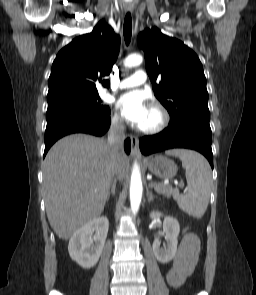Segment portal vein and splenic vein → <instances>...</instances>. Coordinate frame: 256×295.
I'll return each instance as SVG.
<instances>
[{
  "mask_svg": "<svg viewBox=\"0 0 256 295\" xmlns=\"http://www.w3.org/2000/svg\"><path fill=\"white\" fill-rule=\"evenodd\" d=\"M152 185H153V182H151V183L149 184V186H152ZM178 186H179V187H183L184 184H183V183H179Z\"/></svg>",
  "mask_w": 256,
  "mask_h": 295,
  "instance_id": "1",
  "label": "portal vein and splenic vein"
}]
</instances>
